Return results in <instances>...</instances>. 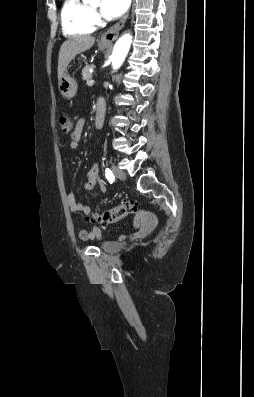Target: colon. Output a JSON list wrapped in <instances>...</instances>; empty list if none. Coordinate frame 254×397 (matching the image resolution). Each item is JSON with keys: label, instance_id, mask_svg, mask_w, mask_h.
Segmentation results:
<instances>
[{"label": "colon", "instance_id": "5ec220e1", "mask_svg": "<svg viewBox=\"0 0 254 397\" xmlns=\"http://www.w3.org/2000/svg\"><path fill=\"white\" fill-rule=\"evenodd\" d=\"M59 125L63 133L70 132L71 122L66 115L63 114L59 117ZM137 210L138 206L135 201H125L102 213L93 214L91 219L103 226H107L119 222L130 214L136 213Z\"/></svg>", "mask_w": 254, "mask_h": 397}]
</instances>
